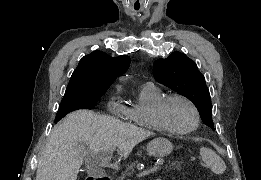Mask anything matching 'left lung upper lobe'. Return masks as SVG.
Returning <instances> with one entry per match:
<instances>
[{
    "label": "left lung upper lobe",
    "instance_id": "5c2ea615",
    "mask_svg": "<svg viewBox=\"0 0 261 180\" xmlns=\"http://www.w3.org/2000/svg\"><path fill=\"white\" fill-rule=\"evenodd\" d=\"M154 77L159 83L189 98L202 121L214 130L210 93L194 61L183 53L173 52L166 59L155 61Z\"/></svg>",
    "mask_w": 261,
    "mask_h": 180
}]
</instances>
